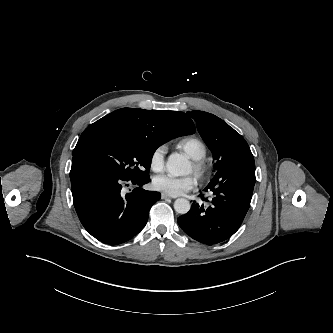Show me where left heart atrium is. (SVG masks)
I'll list each match as a JSON object with an SVG mask.
<instances>
[{
	"label": "left heart atrium",
	"instance_id": "left-heart-atrium-1",
	"mask_svg": "<svg viewBox=\"0 0 333 333\" xmlns=\"http://www.w3.org/2000/svg\"><path fill=\"white\" fill-rule=\"evenodd\" d=\"M152 185L155 190L176 197L191 191L195 187L196 181L192 175L174 177L161 174L153 178Z\"/></svg>",
	"mask_w": 333,
	"mask_h": 333
}]
</instances>
